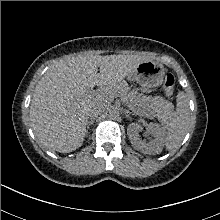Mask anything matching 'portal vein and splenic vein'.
Segmentation results:
<instances>
[{
    "mask_svg": "<svg viewBox=\"0 0 220 220\" xmlns=\"http://www.w3.org/2000/svg\"><path fill=\"white\" fill-rule=\"evenodd\" d=\"M88 97L91 98V99H92V98H95V94L91 92V93L88 95Z\"/></svg>",
    "mask_w": 220,
    "mask_h": 220,
    "instance_id": "18ae733b",
    "label": "portal vein and splenic vein"
}]
</instances>
